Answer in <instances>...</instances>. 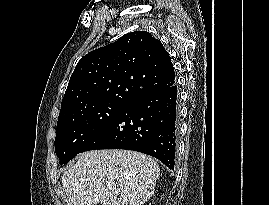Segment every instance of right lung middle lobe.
Listing matches in <instances>:
<instances>
[{
  "label": "right lung middle lobe",
  "mask_w": 269,
  "mask_h": 205,
  "mask_svg": "<svg viewBox=\"0 0 269 205\" xmlns=\"http://www.w3.org/2000/svg\"><path fill=\"white\" fill-rule=\"evenodd\" d=\"M128 105L121 102H102L58 119L55 152L60 159V165L66 164L80 153Z\"/></svg>",
  "instance_id": "1"
}]
</instances>
